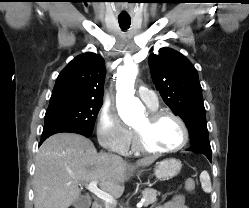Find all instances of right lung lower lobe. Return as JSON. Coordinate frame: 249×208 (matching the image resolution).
<instances>
[{
	"instance_id": "1",
	"label": "right lung lower lobe",
	"mask_w": 249,
	"mask_h": 208,
	"mask_svg": "<svg viewBox=\"0 0 249 208\" xmlns=\"http://www.w3.org/2000/svg\"><path fill=\"white\" fill-rule=\"evenodd\" d=\"M60 132H71V133H78L81 135H84L86 137H89L90 134H87L83 131L72 129V128H66L61 126H46L43 128L42 137L39 146L51 135L60 133Z\"/></svg>"
}]
</instances>
